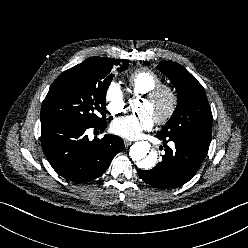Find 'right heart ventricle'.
Segmentation results:
<instances>
[{
    "label": "right heart ventricle",
    "mask_w": 248,
    "mask_h": 248,
    "mask_svg": "<svg viewBox=\"0 0 248 248\" xmlns=\"http://www.w3.org/2000/svg\"><path fill=\"white\" fill-rule=\"evenodd\" d=\"M130 91L134 94H146L153 88L162 84L161 78L150 69H138L127 79Z\"/></svg>",
    "instance_id": "e07e8e85"
}]
</instances>
